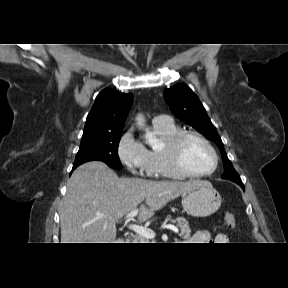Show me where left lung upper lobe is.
Here are the masks:
<instances>
[{
  "mask_svg": "<svg viewBox=\"0 0 288 288\" xmlns=\"http://www.w3.org/2000/svg\"><path fill=\"white\" fill-rule=\"evenodd\" d=\"M163 95L171 112L177 118L191 125L217 144L221 151L225 168L222 178L241 184L242 181L238 173L227 157L224 144L197 95L186 84H178L166 89Z\"/></svg>",
  "mask_w": 288,
  "mask_h": 288,
  "instance_id": "left-lung-upper-lobe-1",
  "label": "left lung upper lobe"
}]
</instances>
